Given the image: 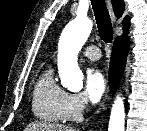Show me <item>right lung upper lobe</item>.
<instances>
[{"mask_svg": "<svg viewBox=\"0 0 147 131\" xmlns=\"http://www.w3.org/2000/svg\"><path fill=\"white\" fill-rule=\"evenodd\" d=\"M112 4H113V8H114V12L115 15L117 17H121L124 13L125 10V3L123 0H112ZM123 25L125 26L124 29V33L128 32V28H129V18L125 17L123 20Z\"/></svg>", "mask_w": 147, "mask_h": 131, "instance_id": "cb5924a9", "label": "right lung upper lobe"}]
</instances>
